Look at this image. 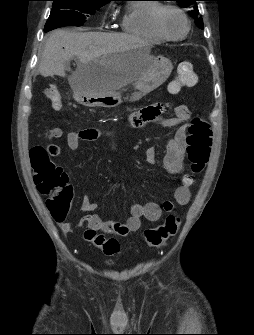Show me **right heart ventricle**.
<instances>
[{
	"mask_svg": "<svg viewBox=\"0 0 254 335\" xmlns=\"http://www.w3.org/2000/svg\"><path fill=\"white\" fill-rule=\"evenodd\" d=\"M160 4L156 2H133L128 4L121 19L124 32L143 40L160 43L163 39L157 35L152 25V17Z\"/></svg>",
	"mask_w": 254,
	"mask_h": 335,
	"instance_id": "e07e8e85",
	"label": "right heart ventricle"
}]
</instances>
